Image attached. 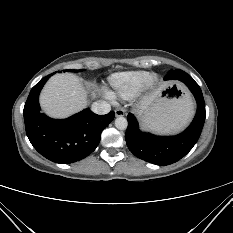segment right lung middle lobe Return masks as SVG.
<instances>
[{
  "mask_svg": "<svg viewBox=\"0 0 233 233\" xmlns=\"http://www.w3.org/2000/svg\"><path fill=\"white\" fill-rule=\"evenodd\" d=\"M66 71L80 72V71H83V69H81V70H66Z\"/></svg>",
  "mask_w": 233,
  "mask_h": 233,
  "instance_id": "right-lung-middle-lobe-1",
  "label": "right lung middle lobe"
}]
</instances>
